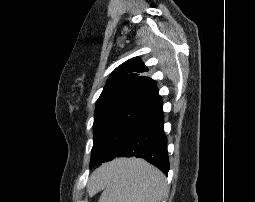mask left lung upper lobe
<instances>
[{
    "label": "left lung upper lobe",
    "instance_id": "5c2ea615",
    "mask_svg": "<svg viewBox=\"0 0 255 202\" xmlns=\"http://www.w3.org/2000/svg\"><path fill=\"white\" fill-rule=\"evenodd\" d=\"M140 58L127 60L110 75L97 100L90 167L113 159L141 123L161 104L156 83Z\"/></svg>",
    "mask_w": 255,
    "mask_h": 202
}]
</instances>
